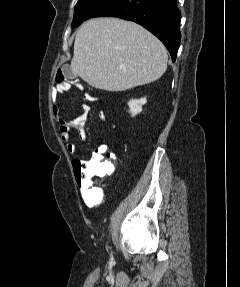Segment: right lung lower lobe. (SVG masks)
I'll use <instances>...</instances> for the list:
<instances>
[{"mask_svg": "<svg viewBox=\"0 0 240 287\" xmlns=\"http://www.w3.org/2000/svg\"><path fill=\"white\" fill-rule=\"evenodd\" d=\"M118 17L134 21L159 38L175 62L180 45L181 13L176 0H107L93 17Z\"/></svg>", "mask_w": 240, "mask_h": 287, "instance_id": "obj_1", "label": "right lung lower lobe"}]
</instances>
